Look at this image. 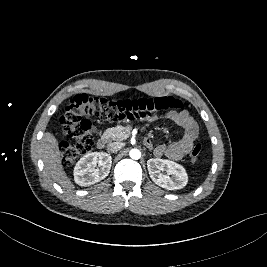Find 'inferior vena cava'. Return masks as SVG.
Wrapping results in <instances>:
<instances>
[{
  "instance_id": "1",
  "label": "inferior vena cava",
  "mask_w": 267,
  "mask_h": 267,
  "mask_svg": "<svg viewBox=\"0 0 267 267\" xmlns=\"http://www.w3.org/2000/svg\"><path fill=\"white\" fill-rule=\"evenodd\" d=\"M124 147V143L122 142H111L107 145V151L109 153H115Z\"/></svg>"
}]
</instances>
